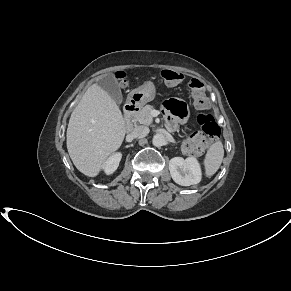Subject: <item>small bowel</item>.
<instances>
[{
    "label": "small bowel",
    "instance_id": "1",
    "mask_svg": "<svg viewBox=\"0 0 291 291\" xmlns=\"http://www.w3.org/2000/svg\"><path fill=\"white\" fill-rule=\"evenodd\" d=\"M184 113L185 106L183 102L178 100H170L166 104L167 123L171 129H174L177 126L175 116H182Z\"/></svg>",
    "mask_w": 291,
    "mask_h": 291
}]
</instances>
